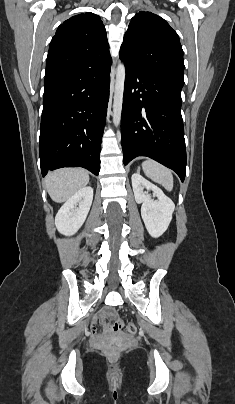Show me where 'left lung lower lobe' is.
Here are the masks:
<instances>
[{"instance_id":"0a47b994","label":"left lung lower lobe","mask_w":235,"mask_h":404,"mask_svg":"<svg viewBox=\"0 0 235 404\" xmlns=\"http://www.w3.org/2000/svg\"><path fill=\"white\" fill-rule=\"evenodd\" d=\"M121 116L123 162L147 156L174 170L183 182L186 149L181 116L182 85L148 73L125 59Z\"/></svg>"}]
</instances>
